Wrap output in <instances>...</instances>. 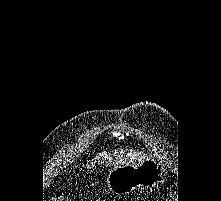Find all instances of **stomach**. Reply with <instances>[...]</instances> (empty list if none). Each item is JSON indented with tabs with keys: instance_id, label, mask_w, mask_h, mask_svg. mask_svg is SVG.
Returning a JSON list of instances; mask_svg holds the SVG:
<instances>
[{
	"instance_id": "obj_1",
	"label": "stomach",
	"mask_w": 221,
	"mask_h": 201,
	"mask_svg": "<svg viewBox=\"0 0 221 201\" xmlns=\"http://www.w3.org/2000/svg\"><path fill=\"white\" fill-rule=\"evenodd\" d=\"M167 173V167L153 158L115 165L107 177L108 189L125 195L138 188H153L164 182Z\"/></svg>"
}]
</instances>
